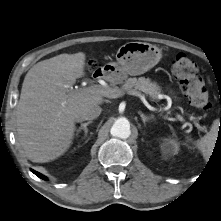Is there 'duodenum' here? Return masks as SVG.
<instances>
[{
	"label": "duodenum",
	"instance_id": "obj_1",
	"mask_svg": "<svg viewBox=\"0 0 221 221\" xmlns=\"http://www.w3.org/2000/svg\"><path fill=\"white\" fill-rule=\"evenodd\" d=\"M105 76V73L103 72V70L99 69L97 71L94 72L93 77L95 79H103Z\"/></svg>",
	"mask_w": 221,
	"mask_h": 221
}]
</instances>
